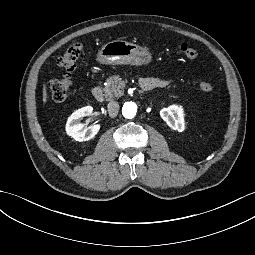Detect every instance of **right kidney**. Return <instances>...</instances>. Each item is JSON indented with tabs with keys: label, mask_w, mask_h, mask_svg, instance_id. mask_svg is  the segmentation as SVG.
I'll list each match as a JSON object with an SVG mask.
<instances>
[{
	"label": "right kidney",
	"mask_w": 255,
	"mask_h": 255,
	"mask_svg": "<svg viewBox=\"0 0 255 255\" xmlns=\"http://www.w3.org/2000/svg\"><path fill=\"white\" fill-rule=\"evenodd\" d=\"M92 112L93 107L86 106L72 113L66 123L67 134L76 141H86L93 138L98 133L100 125L85 127L84 124L80 123L83 117L90 116Z\"/></svg>",
	"instance_id": "1"
}]
</instances>
